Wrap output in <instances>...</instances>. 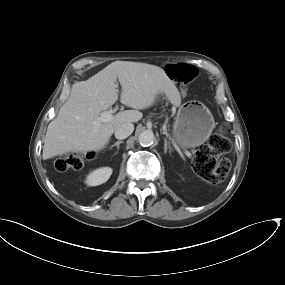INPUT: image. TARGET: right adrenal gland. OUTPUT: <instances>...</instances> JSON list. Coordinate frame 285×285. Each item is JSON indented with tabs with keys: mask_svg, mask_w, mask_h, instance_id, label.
I'll return each instance as SVG.
<instances>
[{
	"mask_svg": "<svg viewBox=\"0 0 285 285\" xmlns=\"http://www.w3.org/2000/svg\"><path fill=\"white\" fill-rule=\"evenodd\" d=\"M121 143H123V141H121V140L115 142L113 145L110 146V149L113 148V147H115V146L117 147V149H119V145H120Z\"/></svg>",
	"mask_w": 285,
	"mask_h": 285,
	"instance_id": "right-adrenal-gland-1",
	"label": "right adrenal gland"
}]
</instances>
